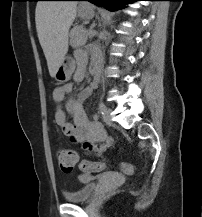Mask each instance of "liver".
Returning a JSON list of instances; mask_svg holds the SVG:
<instances>
[{
    "label": "liver",
    "mask_w": 202,
    "mask_h": 217,
    "mask_svg": "<svg viewBox=\"0 0 202 217\" xmlns=\"http://www.w3.org/2000/svg\"><path fill=\"white\" fill-rule=\"evenodd\" d=\"M77 3L41 1L35 11L36 29L51 77L68 52V33L76 17Z\"/></svg>",
    "instance_id": "obj_1"
}]
</instances>
